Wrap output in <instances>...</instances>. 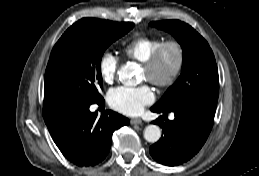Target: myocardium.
I'll return each instance as SVG.
<instances>
[{"label": "myocardium", "mask_w": 259, "mask_h": 176, "mask_svg": "<svg viewBox=\"0 0 259 176\" xmlns=\"http://www.w3.org/2000/svg\"><path fill=\"white\" fill-rule=\"evenodd\" d=\"M168 49H173L176 54V61L173 69L167 73L162 74L160 71V64L164 53ZM185 63V53L182 44L175 40L170 39L163 41L149 56V58L144 61L143 68L148 73V80L155 86L167 89L174 85L178 78L180 77Z\"/></svg>", "instance_id": "1"}]
</instances>
